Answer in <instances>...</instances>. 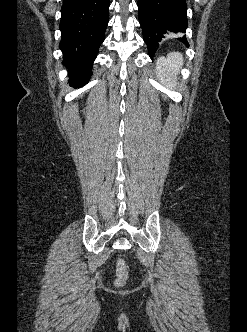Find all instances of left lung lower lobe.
<instances>
[{
	"label": "left lung lower lobe",
	"mask_w": 247,
	"mask_h": 332,
	"mask_svg": "<svg viewBox=\"0 0 247 332\" xmlns=\"http://www.w3.org/2000/svg\"><path fill=\"white\" fill-rule=\"evenodd\" d=\"M139 23L149 56L169 32H185L188 26L186 0H138ZM188 45L186 37L178 39Z\"/></svg>",
	"instance_id": "left-lung-lower-lobe-1"
}]
</instances>
